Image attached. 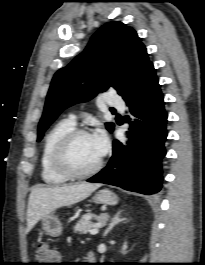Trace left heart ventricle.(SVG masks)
Masks as SVG:
<instances>
[{
	"label": "left heart ventricle",
	"mask_w": 205,
	"mask_h": 265,
	"mask_svg": "<svg viewBox=\"0 0 205 265\" xmlns=\"http://www.w3.org/2000/svg\"><path fill=\"white\" fill-rule=\"evenodd\" d=\"M100 157L92 136H81L72 143L67 160L73 170L85 172L95 166Z\"/></svg>",
	"instance_id": "b2bd125f"
}]
</instances>
